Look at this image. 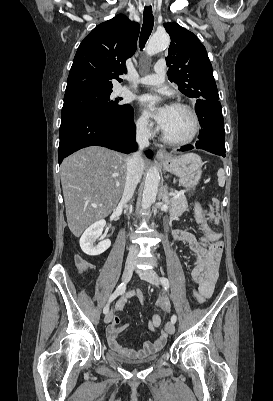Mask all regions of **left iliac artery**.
Instances as JSON below:
<instances>
[{"label":"left iliac artery","instance_id":"1","mask_svg":"<svg viewBox=\"0 0 273 401\" xmlns=\"http://www.w3.org/2000/svg\"><path fill=\"white\" fill-rule=\"evenodd\" d=\"M161 283L163 284V286L165 287V289H167L169 287V280L166 277H161L160 278ZM177 320L176 315H173L171 317V322L175 323Z\"/></svg>","mask_w":273,"mask_h":401}]
</instances>
